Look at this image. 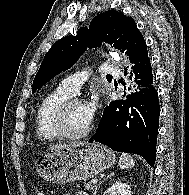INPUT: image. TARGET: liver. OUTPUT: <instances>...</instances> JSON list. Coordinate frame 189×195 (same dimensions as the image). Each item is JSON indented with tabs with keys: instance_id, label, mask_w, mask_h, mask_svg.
I'll return each mask as SVG.
<instances>
[{
	"instance_id": "6515ba94",
	"label": "liver",
	"mask_w": 189,
	"mask_h": 195,
	"mask_svg": "<svg viewBox=\"0 0 189 195\" xmlns=\"http://www.w3.org/2000/svg\"><path fill=\"white\" fill-rule=\"evenodd\" d=\"M82 144L83 143H80V144H54V145L49 147V150L68 148V147L78 146V145H82Z\"/></svg>"
}]
</instances>
